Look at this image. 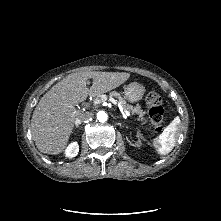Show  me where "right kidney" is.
Here are the masks:
<instances>
[{
  "mask_svg": "<svg viewBox=\"0 0 221 221\" xmlns=\"http://www.w3.org/2000/svg\"><path fill=\"white\" fill-rule=\"evenodd\" d=\"M78 152H79V145L77 142H73L67 147L65 154L66 157L73 158L77 156Z\"/></svg>",
  "mask_w": 221,
  "mask_h": 221,
  "instance_id": "1",
  "label": "right kidney"
}]
</instances>
